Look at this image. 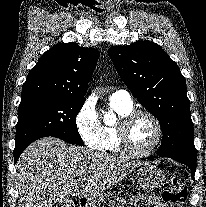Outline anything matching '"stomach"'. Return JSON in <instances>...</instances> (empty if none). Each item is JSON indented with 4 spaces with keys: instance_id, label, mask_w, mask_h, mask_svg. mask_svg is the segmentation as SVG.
<instances>
[{
    "instance_id": "obj_1",
    "label": "stomach",
    "mask_w": 206,
    "mask_h": 207,
    "mask_svg": "<svg viewBox=\"0 0 206 207\" xmlns=\"http://www.w3.org/2000/svg\"><path fill=\"white\" fill-rule=\"evenodd\" d=\"M135 178L140 188L146 191H155L165 181V175L158 167L142 162L135 172Z\"/></svg>"
}]
</instances>
